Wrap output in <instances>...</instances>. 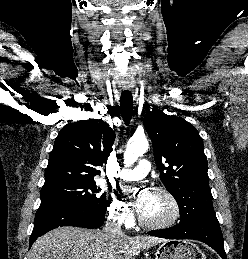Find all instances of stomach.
<instances>
[{
    "mask_svg": "<svg viewBox=\"0 0 248 259\" xmlns=\"http://www.w3.org/2000/svg\"><path fill=\"white\" fill-rule=\"evenodd\" d=\"M155 259H206L198 246L188 241L169 240L161 244Z\"/></svg>",
    "mask_w": 248,
    "mask_h": 259,
    "instance_id": "obj_1",
    "label": "stomach"
}]
</instances>
